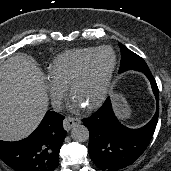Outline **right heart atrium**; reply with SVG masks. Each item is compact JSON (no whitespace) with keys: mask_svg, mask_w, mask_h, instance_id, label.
Segmentation results:
<instances>
[{"mask_svg":"<svg viewBox=\"0 0 171 171\" xmlns=\"http://www.w3.org/2000/svg\"><path fill=\"white\" fill-rule=\"evenodd\" d=\"M47 90L49 92L51 101L56 108H60L64 97L66 95L67 87L55 82L50 77L46 84Z\"/></svg>","mask_w":171,"mask_h":171,"instance_id":"d8ad5b80","label":"right heart atrium"}]
</instances>
